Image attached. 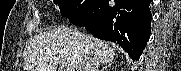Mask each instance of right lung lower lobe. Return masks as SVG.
Segmentation results:
<instances>
[{"instance_id":"1","label":"right lung lower lobe","mask_w":181,"mask_h":71,"mask_svg":"<svg viewBox=\"0 0 181 71\" xmlns=\"http://www.w3.org/2000/svg\"><path fill=\"white\" fill-rule=\"evenodd\" d=\"M109 0L98 2L85 13L70 17L69 22L84 26L94 37L117 42L134 60H139L151 33L152 0Z\"/></svg>"}]
</instances>
